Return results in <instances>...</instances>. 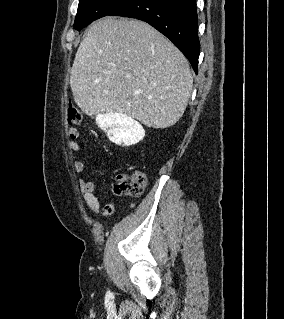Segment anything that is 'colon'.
<instances>
[{
    "label": "colon",
    "instance_id": "1",
    "mask_svg": "<svg viewBox=\"0 0 284 319\" xmlns=\"http://www.w3.org/2000/svg\"><path fill=\"white\" fill-rule=\"evenodd\" d=\"M67 117L68 123L72 125H81L84 122L82 112L72 104H69ZM145 185V175L136 171L131 175H118L114 183V191L118 195L136 198L143 193Z\"/></svg>",
    "mask_w": 284,
    "mask_h": 319
}]
</instances>
